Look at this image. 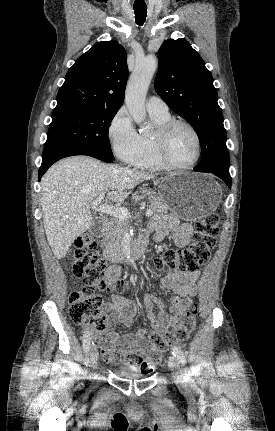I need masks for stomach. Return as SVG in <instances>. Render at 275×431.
Masks as SVG:
<instances>
[{
  "mask_svg": "<svg viewBox=\"0 0 275 431\" xmlns=\"http://www.w3.org/2000/svg\"><path fill=\"white\" fill-rule=\"evenodd\" d=\"M159 196L177 216L196 221L215 211L221 199V188L209 175L173 173L163 178Z\"/></svg>",
  "mask_w": 275,
  "mask_h": 431,
  "instance_id": "stomach-1",
  "label": "stomach"
}]
</instances>
